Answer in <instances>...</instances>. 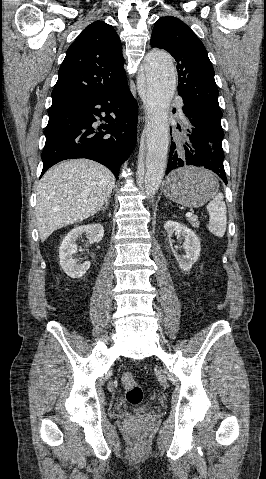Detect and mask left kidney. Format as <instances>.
Listing matches in <instances>:
<instances>
[{
  "label": "left kidney",
  "mask_w": 266,
  "mask_h": 479,
  "mask_svg": "<svg viewBox=\"0 0 266 479\" xmlns=\"http://www.w3.org/2000/svg\"><path fill=\"white\" fill-rule=\"evenodd\" d=\"M164 229L167 231L170 242L173 234L182 235L185 238L183 248L186 255L180 260V268L186 272L190 271L200 256L201 247L198 236L191 229L175 221L166 222Z\"/></svg>",
  "instance_id": "left-kidney-1"
}]
</instances>
